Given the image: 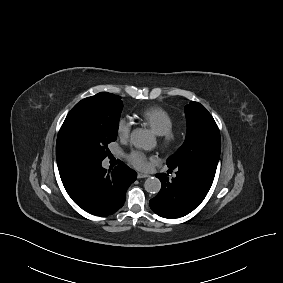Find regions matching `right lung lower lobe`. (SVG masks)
Instances as JSON below:
<instances>
[{
	"instance_id": "1",
	"label": "right lung lower lobe",
	"mask_w": 283,
	"mask_h": 283,
	"mask_svg": "<svg viewBox=\"0 0 283 283\" xmlns=\"http://www.w3.org/2000/svg\"><path fill=\"white\" fill-rule=\"evenodd\" d=\"M102 160H73L59 168L62 183L71 199L88 213L106 216L121 208L126 190L137 173L120 162L112 172Z\"/></svg>"
}]
</instances>
